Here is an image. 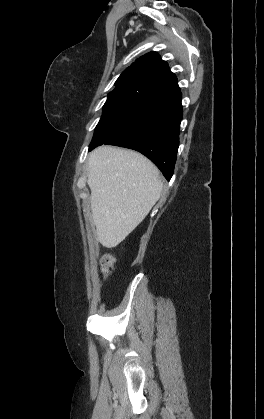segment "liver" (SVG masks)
<instances>
[{"label":"liver","instance_id":"liver-1","mask_svg":"<svg viewBox=\"0 0 264 419\" xmlns=\"http://www.w3.org/2000/svg\"><path fill=\"white\" fill-rule=\"evenodd\" d=\"M87 183L97 238L106 248L116 247L143 221L163 189L149 159L111 146L89 155Z\"/></svg>","mask_w":264,"mask_h":419}]
</instances>
